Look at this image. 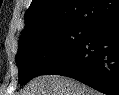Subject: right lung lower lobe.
Wrapping results in <instances>:
<instances>
[{
  "label": "right lung lower lobe",
  "mask_w": 119,
  "mask_h": 95,
  "mask_svg": "<svg viewBox=\"0 0 119 95\" xmlns=\"http://www.w3.org/2000/svg\"><path fill=\"white\" fill-rule=\"evenodd\" d=\"M76 79L107 95H119V18L93 28L42 75Z\"/></svg>",
  "instance_id": "1"
}]
</instances>
